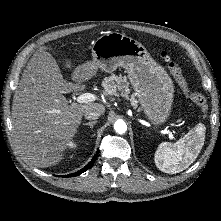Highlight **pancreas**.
<instances>
[{"label": "pancreas", "mask_w": 221, "mask_h": 221, "mask_svg": "<svg viewBox=\"0 0 221 221\" xmlns=\"http://www.w3.org/2000/svg\"><path fill=\"white\" fill-rule=\"evenodd\" d=\"M102 86L105 92L108 94H115L117 89H121L122 95L126 98H129V82L127 81L126 76H116L115 74H112L111 76L104 79ZM130 102L131 105L135 108L138 106V100L135 98V95L130 97Z\"/></svg>", "instance_id": "cf45deb5"}]
</instances>
